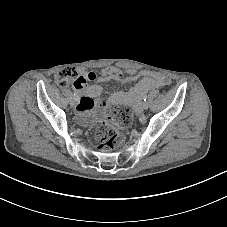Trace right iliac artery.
<instances>
[{
    "label": "right iliac artery",
    "instance_id": "right-iliac-artery-1",
    "mask_svg": "<svg viewBox=\"0 0 227 227\" xmlns=\"http://www.w3.org/2000/svg\"><path fill=\"white\" fill-rule=\"evenodd\" d=\"M73 90H74V97H75V100L78 102V103H80V99H79V97H78V94H77V92H76V90L73 88Z\"/></svg>",
    "mask_w": 227,
    "mask_h": 227
}]
</instances>
